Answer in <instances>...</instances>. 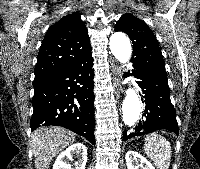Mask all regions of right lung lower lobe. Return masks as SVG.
Masks as SVG:
<instances>
[{
	"label": "right lung lower lobe",
	"mask_w": 200,
	"mask_h": 169,
	"mask_svg": "<svg viewBox=\"0 0 200 169\" xmlns=\"http://www.w3.org/2000/svg\"><path fill=\"white\" fill-rule=\"evenodd\" d=\"M92 67L90 54L71 68L34 79L31 131L58 125L95 144Z\"/></svg>",
	"instance_id": "obj_1"
}]
</instances>
